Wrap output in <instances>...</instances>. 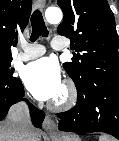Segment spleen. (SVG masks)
I'll list each match as a JSON object with an SVG mask.
<instances>
[{
  "label": "spleen",
  "mask_w": 119,
  "mask_h": 141,
  "mask_svg": "<svg viewBox=\"0 0 119 141\" xmlns=\"http://www.w3.org/2000/svg\"><path fill=\"white\" fill-rule=\"evenodd\" d=\"M99 141H109V140L106 137L102 136V137L99 138Z\"/></svg>",
  "instance_id": "spleen-1"
}]
</instances>
